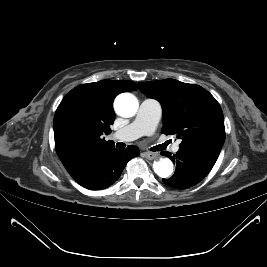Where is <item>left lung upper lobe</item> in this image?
<instances>
[{"instance_id": "1", "label": "left lung upper lobe", "mask_w": 267, "mask_h": 267, "mask_svg": "<svg viewBox=\"0 0 267 267\" xmlns=\"http://www.w3.org/2000/svg\"><path fill=\"white\" fill-rule=\"evenodd\" d=\"M138 87L161 103L162 133L180 138V149L219 155L225 140L224 118L219 103L207 90L175 79L140 82Z\"/></svg>"}]
</instances>
